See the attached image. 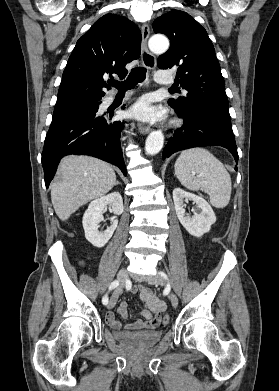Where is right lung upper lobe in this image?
Instances as JSON below:
<instances>
[{"mask_svg":"<svg viewBox=\"0 0 279 391\" xmlns=\"http://www.w3.org/2000/svg\"><path fill=\"white\" fill-rule=\"evenodd\" d=\"M141 52V32L129 19L106 14L77 41L58 90L54 110L98 102L105 95V79L124 78L127 63Z\"/></svg>","mask_w":279,"mask_h":391,"instance_id":"1","label":"right lung upper lobe"}]
</instances>
